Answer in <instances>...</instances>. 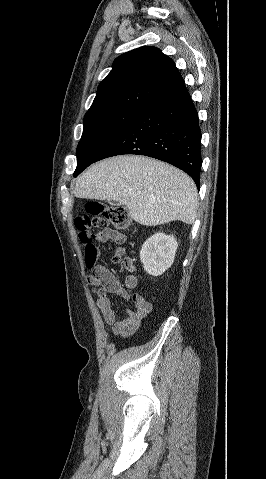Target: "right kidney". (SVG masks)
Here are the masks:
<instances>
[{
    "label": "right kidney",
    "instance_id": "right-kidney-1",
    "mask_svg": "<svg viewBox=\"0 0 266 479\" xmlns=\"http://www.w3.org/2000/svg\"><path fill=\"white\" fill-rule=\"evenodd\" d=\"M177 247L173 235L155 233L145 241L140 251L144 270L152 276L162 275L173 264Z\"/></svg>",
    "mask_w": 266,
    "mask_h": 479
}]
</instances>
